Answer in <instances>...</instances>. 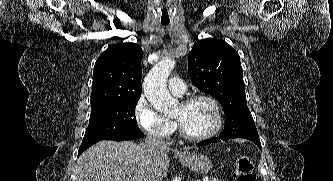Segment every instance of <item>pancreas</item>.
<instances>
[{
	"mask_svg": "<svg viewBox=\"0 0 333 181\" xmlns=\"http://www.w3.org/2000/svg\"><path fill=\"white\" fill-rule=\"evenodd\" d=\"M208 181H220L219 179H216V178H211L209 179Z\"/></svg>",
	"mask_w": 333,
	"mask_h": 181,
	"instance_id": "cf45deb5",
	"label": "pancreas"
}]
</instances>
